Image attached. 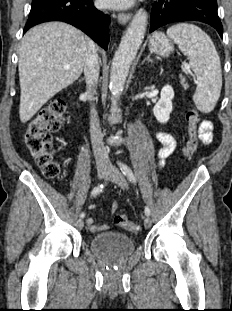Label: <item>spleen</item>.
<instances>
[{"instance_id": "spleen-1", "label": "spleen", "mask_w": 232, "mask_h": 311, "mask_svg": "<svg viewBox=\"0 0 232 311\" xmlns=\"http://www.w3.org/2000/svg\"><path fill=\"white\" fill-rule=\"evenodd\" d=\"M167 35L190 58V67L197 75L193 101L203 113L211 112L221 93L222 71L219 55L211 38L198 26L178 23L167 30Z\"/></svg>"}]
</instances>
